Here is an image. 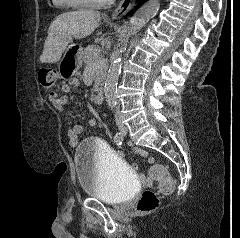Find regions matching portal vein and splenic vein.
I'll return each mask as SVG.
<instances>
[{
    "mask_svg": "<svg viewBox=\"0 0 240 238\" xmlns=\"http://www.w3.org/2000/svg\"><path fill=\"white\" fill-rule=\"evenodd\" d=\"M95 59H96L97 62H100V58H99L98 55H96V58H95Z\"/></svg>",
    "mask_w": 240,
    "mask_h": 238,
    "instance_id": "1",
    "label": "portal vein and splenic vein"
}]
</instances>
